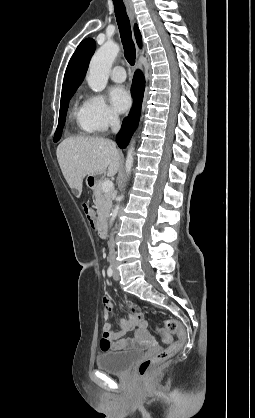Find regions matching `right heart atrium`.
<instances>
[{
  "instance_id": "d8ad5b80",
  "label": "right heart atrium",
  "mask_w": 255,
  "mask_h": 418,
  "mask_svg": "<svg viewBox=\"0 0 255 418\" xmlns=\"http://www.w3.org/2000/svg\"><path fill=\"white\" fill-rule=\"evenodd\" d=\"M83 107L86 125L93 132L104 131L118 121L117 114L100 94L89 95Z\"/></svg>"
}]
</instances>
